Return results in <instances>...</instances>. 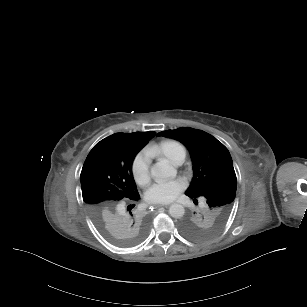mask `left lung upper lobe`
<instances>
[{"label": "left lung upper lobe", "mask_w": 307, "mask_h": 307, "mask_svg": "<svg viewBox=\"0 0 307 307\" xmlns=\"http://www.w3.org/2000/svg\"><path fill=\"white\" fill-rule=\"evenodd\" d=\"M159 136L173 138L189 150L194 177L186 195L206 201L180 222L181 232L193 240H204L215 235L225 224L235 199L237 179L228 149L212 135L193 128L166 130Z\"/></svg>", "instance_id": "1"}]
</instances>
